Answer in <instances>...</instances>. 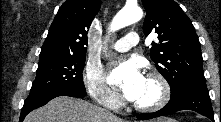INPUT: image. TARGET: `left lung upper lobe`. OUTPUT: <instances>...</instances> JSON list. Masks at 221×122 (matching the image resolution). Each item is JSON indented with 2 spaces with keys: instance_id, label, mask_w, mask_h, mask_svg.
Masks as SVG:
<instances>
[{
  "instance_id": "5c2ea615",
  "label": "left lung upper lobe",
  "mask_w": 221,
  "mask_h": 122,
  "mask_svg": "<svg viewBox=\"0 0 221 122\" xmlns=\"http://www.w3.org/2000/svg\"><path fill=\"white\" fill-rule=\"evenodd\" d=\"M147 12L143 24L146 36L158 34L150 57L171 87V95L188 86H206L202 53L192 22L173 0H142Z\"/></svg>"
}]
</instances>
